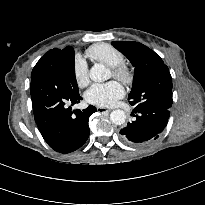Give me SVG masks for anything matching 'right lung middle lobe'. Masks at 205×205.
I'll use <instances>...</instances> for the list:
<instances>
[{
	"mask_svg": "<svg viewBox=\"0 0 205 205\" xmlns=\"http://www.w3.org/2000/svg\"><path fill=\"white\" fill-rule=\"evenodd\" d=\"M40 60L37 62L36 66L33 68L31 76L39 73L44 68L51 66L53 64V61L49 62V61H45V60H43V61H40Z\"/></svg>",
	"mask_w": 205,
	"mask_h": 205,
	"instance_id": "obj_1",
	"label": "right lung middle lobe"
}]
</instances>
